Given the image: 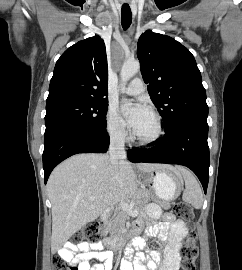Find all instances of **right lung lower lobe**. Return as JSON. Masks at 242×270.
I'll return each mask as SVG.
<instances>
[{
  "label": "right lung lower lobe",
  "instance_id": "98d812e1",
  "mask_svg": "<svg viewBox=\"0 0 242 270\" xmlns=\"http://www.w3.org/2000/svg\"><path fill=\"white\" fill-rule=\"evenodd\" d=\"M109 136L105 129H92L79 124L61 123L46 128L44 135V181L64 159L77 153H105Z\"/></svg>",
  "mask_w": 242,
  "mask_h": 270
}]
</instances>
